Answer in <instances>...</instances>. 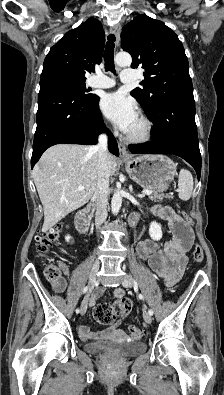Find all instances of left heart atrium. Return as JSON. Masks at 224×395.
<instances>
[{"instance_id": "obj_1", "label": "left heart atrium", "mask_w": 224, "mask_h": 395, "mask_svg": "<svg viewBox=\"0 0 224 395\" xmlns=\"http://www.w3.org/2000/svg\"><path fill=\"white\" fill-rule=\"evenodd\" d=\"M100 107L104 115L123 132H128L138 120L135 102L121 92L105 94Z\"/></svg>"}]
</instances>
